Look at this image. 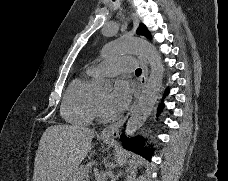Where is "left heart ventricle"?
I'll return each instance as SVG.
<instances>
[{"instance_id": "left-heart-ventricle-1", "label": "left heart ventricle", "mask_w": 228, "mask_h": 181, "mask_svg": "<svg viewBox=\"0 0 228 181\" xmlns=\"http://www.w3.org/2000/svg\"><path fill=\"white\" fill-rule=\"evenodd\" d=\"M113 76H114V74H111L110 76H107V77H100V78H98V80H100V79H109V80H110V87H109L108 90H106V91L100 96L101 99L105 98L106 94H107L108 92H110L111 89H112V87L114 86L115 83H114V81H113Z\"/></svg>"}]
</instances>
